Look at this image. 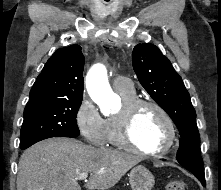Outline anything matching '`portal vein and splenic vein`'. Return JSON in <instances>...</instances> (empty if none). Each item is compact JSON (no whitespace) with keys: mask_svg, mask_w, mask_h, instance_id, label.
Listing matches in <instances>:
<instances>
[{"mask_svg":"<svg viewBox=\"0 0 221 190\" xmlns=\"http://www.w3.org/2000/svg\"><path fill=\"white\" fill-rule=\"evenodd\" d=\"M102 173V171L99 172V174ZM88 177V173H81L78 175L79 180H86Z\"/></svg>","mask_w":221,"mask_h":190,"instance_id":"1","label":"portal vein and splenic vein"}]
</instances>
